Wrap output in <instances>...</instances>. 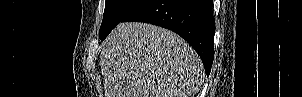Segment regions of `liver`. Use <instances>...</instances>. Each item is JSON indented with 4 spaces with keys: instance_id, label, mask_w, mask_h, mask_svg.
Instances as JSON below:
<instances>
[{
    "instance_id": "obj_1",
    "label": "liver",
    "mask_w": 302,
    "mask_h": 97,
    "mask_svg": "<svg viewBox=\"0 0 302 97\" xmlns=\"http://www.w3.org/2000/svg\"><path fill=\"white\" fill-rule=\"evenodd\" d=\"M105 97H194L204 79L196 52L176 33L120 23L102 44Z\"/></svg>"
}]
</instances>
